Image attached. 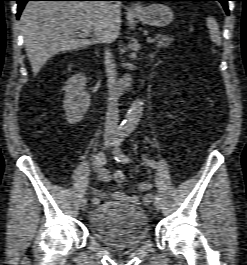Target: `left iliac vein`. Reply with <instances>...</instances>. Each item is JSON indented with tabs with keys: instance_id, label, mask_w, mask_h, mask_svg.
Segmentation results:
<instances>
[{
	"instance_id": "1",
	"label": "left iliac vein",
	"mask_w": 247,
	"mask_h": 265,
	"mask_svg": "<svg viewBox=\"0 0 247 265\" xmlns=\"http://www.w3.org/2000/svg\"><path fill=\"white\" fill-rule=\"evenodd\" d=\"M154 206H155V208H156L157 210H160V209H161V200H160L159 195H156V196H155Z\"/></svg>"
}]
</instances>
